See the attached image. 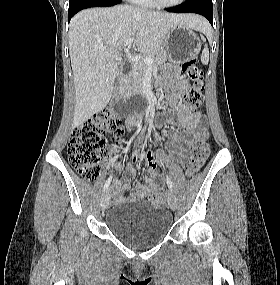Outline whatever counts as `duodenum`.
Listing matches in <instances>:
<instances>
[{"instance_id":"410a0bca","label":"duodenum","mask_w":280,"mask_h":285,"mask_svg":"<svg viewBox=\"0 0 280 285\" xmlns=\"http://www.w3.org/2000/svg\"><path fill=\"white\" fill-rule=\"evenodd\" d=\"M122 94H123V92H122ZM121 103H122L121 98H118V99H116V100L113 102V105H114V107H115L117 110H120ZM118 113H119V114H122L120 111H118Z\"/></svg>"}]
</instances>
